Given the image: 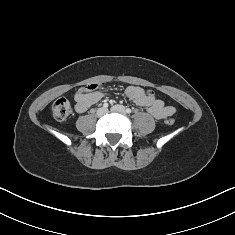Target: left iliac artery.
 Instances as JSON below:
<instances>
[{"mask_svg":"<svg viewBox=\"0 0 235 235\" xmlns=\"http://www.w3.org/2000/svg\"><path fill=\"white\" fill-rule=\"evenodd\" d=\"M132 112V110L130 108L126 109V113L130 114Z\"/></svg>","mask_w":235,"mask_h":235,"instance_id":"44dca946","label":"left iliac artery"}]
</instances>
